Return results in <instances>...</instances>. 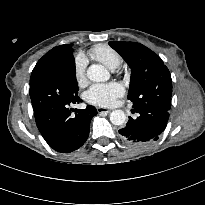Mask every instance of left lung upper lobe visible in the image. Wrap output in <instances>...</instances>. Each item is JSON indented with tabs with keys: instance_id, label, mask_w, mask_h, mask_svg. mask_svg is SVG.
Segmentation results:
<instances>
[{
	"instance_id": "obj_1",
	"label": "left lung upper lobe",
	"mask_w": 205,
	"mask_h": 205,
	"mask_svg": "<svg viewBox=\"0 0 205 205\" xmlns=\"http://www.w3.org/2000/svg\"><path fill=\"white\" fill-rule=\"evenodd\" d=\"M131 68L128 99L134 109L147 107L169 111L172 82L168 68L161 58L149 48L136 42L110 41Z\"/></svg>"
}]
</instances>
